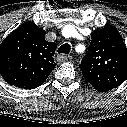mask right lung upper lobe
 <instances>
[{
  "label": "right lung upper lobe",
  "mask_w": 127,
  "mask_h": 127,
  "mask_svg": "<svg viewBox=\"0 0 127 127\" xmlns=\"http://www.w3.org/2000/svg\"><path fill=\"white\" fill-rule=\"evenodd\" d=\"M56 44L45 40V31L32 22L20 25L0 44V75L10 85L33 89L56 66Z\"/></svg>",
  "instance_id": "1"
}]
</instances>
